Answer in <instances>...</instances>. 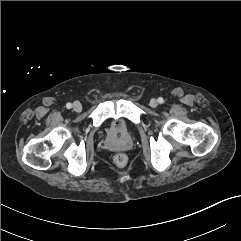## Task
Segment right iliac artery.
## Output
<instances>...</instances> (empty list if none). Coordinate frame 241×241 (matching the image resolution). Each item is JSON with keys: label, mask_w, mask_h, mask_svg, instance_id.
<instances>
[{"label": "right iliac artery", "mask_w": 241, "mask_h": 241, "mask_svg": "<svg viewBox=\"0 0 241 241\" xmlns=\"http://www.w3.org/2000/svg\"><path fill=\"white\" fill-rule=\"evenodd\" d=\"M66 107H67V109H71L72 104H71V103H67V104H66Z\"/></svg>", "instance_id": "82829eb1"}]
</instances>
